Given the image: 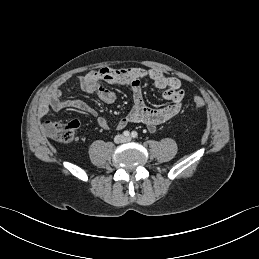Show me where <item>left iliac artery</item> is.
<instances>
[{
    "mask_svg": "<svg viewBox=\"0 0 259 259\" xmlns=\"http://www.w3.org/2000/svg\"><path fill=\"white\" fill-rule=\"evenodd\" d=\"M131 136L133 138H136L138 136V133L136 131H132Z\"/></svg>",
    "mask_w": 259,
    "mask_h": 259,
    "instance_id": "1",
    "label": "left iliac artery"
}]
</instances>
